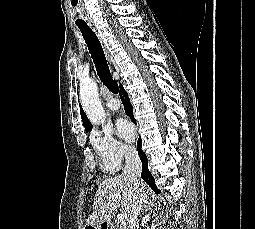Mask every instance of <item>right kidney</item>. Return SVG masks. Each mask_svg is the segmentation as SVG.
Returning <instances> with one entry per match:
<instances>
[{
  "mask_svg": "<svg viewBox=\"0 0 255 229\" xmlns=\"http://www.w3.org/2000/svg\"><path fill=\"white\" fill-rule=\"evenodd\" d=\"M149 220H150L149 214L145 215L142 219V226H144V224H146Z\"/></svg>",
  "mask_w": 255,
  "mask_h": 229,
  "instance_id": "right-kidney-1",
  "label": "right kidney"
}]
</instances>
